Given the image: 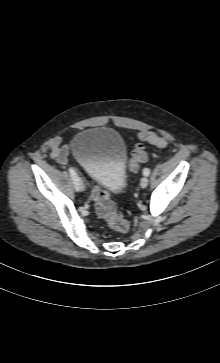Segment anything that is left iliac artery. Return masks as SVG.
<instances>
[{
  "instance_id": "44dca946",
  "label": "left iliac artery",
  "mask_w": 220,
  "mask_h": 363,
  "mask_svg": "<svg viewBox=\"0 0 220 363\" xmlns=\"http://www.w3.org/2000/svg\"><path fill=\"white\" fill-rule=\"evenodd\" d=\"M143 174H144L145 176H148V175L150 174V170H149L148 168H145V169L143 170Z\"/></svg>"
}]
</instances>
